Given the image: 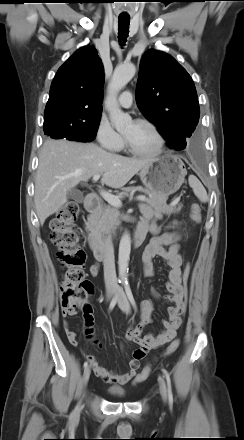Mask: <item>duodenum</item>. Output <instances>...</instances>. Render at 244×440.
<instances>
[{"label":"duodenum","mask_w":244,"mask_h":440,"mask_svg":"<svg viewBox=\"0 0 244 440\" xmlns=\"http://www.w3.org/2000/svg\"><path fill=\"white\" fill-rule=\"evenodd\" d=\"M84 206H85V209L89 213L93 214L100 207V199L95 195H89L85 199ZM83 227H84V232L89 236V244H90V247H91V250L93 252L94 257L98 261H103L107 257L108 251H107V248L103 242H101L97 238H94L91 236L90 219H88L84 223ZM147 231L148 230L145 227H141V226L137 227V229L134 233V237H133V244L135 246H139L143 243V241L146 237Z\"/></svg>","instance_id":"1"}]
</instances>
